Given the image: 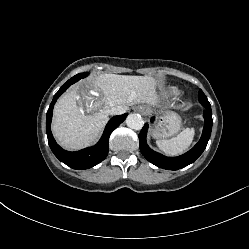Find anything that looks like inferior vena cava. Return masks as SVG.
Wrapping results in <instances>:
<instances>
[{"mask_svg": "<svg viewBox=\"0 0 249 249\" xmlns=\"http://www.w3.org/2000/svg\"><path fill=\"white\" fill-rule=\"evenodd\" d=\"M109 112L111 115H121L126 112V109L123 106H114Z\"/></svg>", "mask_w": 249, "mask_h": 249, "instance_id": "inferior-vena-cava-1", "label": "inferior vena cava"}]
</instances>
